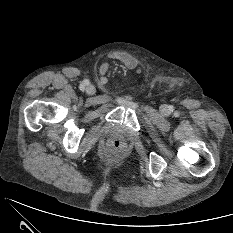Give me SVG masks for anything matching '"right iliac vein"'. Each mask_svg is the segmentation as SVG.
Listing matches in <instances>:
<instances>
[{"label": "right iliac vein", "mask_w": 233, "mask_h": 233, "mask_svg": "<svg viewBox=\"0 0 233 233\" xmlns=\"http://www.w3.org/2000/svg\"><path fill=\"white\" fill-rule=\"evenodd\" d=\"M86 92H87V94H89V95H93V94H95V92H96V88H95L93 85H88V86L86 87Z\"/></svg>", "instance_id": "1"}]
</instances>
